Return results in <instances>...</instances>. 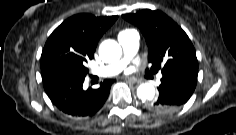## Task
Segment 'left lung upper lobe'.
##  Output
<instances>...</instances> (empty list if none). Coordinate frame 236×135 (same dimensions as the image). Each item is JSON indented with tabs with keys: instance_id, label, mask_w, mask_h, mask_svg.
<instances>
[{
	"instance_id": "obj_1",
	"label": "left lung upper lobe",
	"mask_w": 236,
	"mask_h": 135,
	"mask_svg": "<svg viewBox=\"0 0 236 135\" xmlns=\"http://www.w3.org/2000/svg\"><path fill=\"white\" fill-rule=\"evenodd\" d=\"M124 19L138 26L148 46L147 73H163L198 67L195 49L187 34L161 11L149 9L124 14Z\"/></svg>"
}]
</instances>
